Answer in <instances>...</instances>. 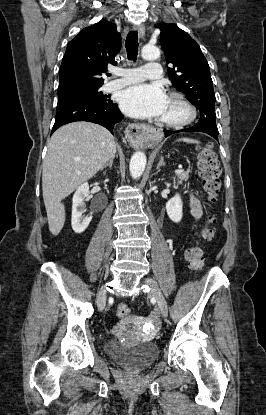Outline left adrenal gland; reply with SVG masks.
Returning <instances> with one entry per match:
<instances>
[{"label": "left adrenal gland", "mask_w": 266, "mask_h": 415, "mask_svg": "<svg viewBox=\"0 0 266 415\" xmlns=\"http://www.w3.org/2000/svg\"><path fill=\"white\" fill-rule=\"evenodd\" d=\"M164 165H165V163H164V159H163V157H161V158H160L159 163L157 164V170H158L161 166H164Z\"/></svg>", "instance_id": "left-adrenal-gland-1"}]
</instances>
